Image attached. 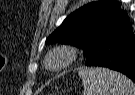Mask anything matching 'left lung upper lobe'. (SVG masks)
<instances>
[{
	"label": "left lung upper lobe",
	"mask_w": 135,
	"mask_h": 95,
	"mask_svg": "<svg viewBox=\"0 0 135 95\" xmlns=\"http://www.w3.org/2000/svg\"><path fill=\"white\" fill-rule=\"evenodd\" d=\"M130 26V19L115 0L91 2L71 13L46 40L83 49L86 60L108 35Z\"/></svg>",
	"instance_id": "obj_1"
}]
</instances>
